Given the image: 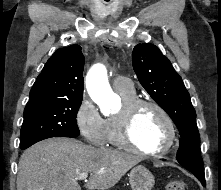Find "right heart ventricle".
I'll return each instance as SVG.
<instances>
[{
    "label": "right heart ventricle",
    "instance_id": "right-heart-ventricle-1",
    "mask_svg": "<svg viewBox=\"0 0 221 190\" xmlns=\"http://www.w3.org/2000/svg\"><path fill=\"white\" fill-rule=\"evenodd\" d=\"M118 93L122 97L123 101H130V100L137 98L136 92L134 89L129 92H118ZM106 120H107V127H108L107 143H109L110 145L114 147H122L119 141L116 116H111Z\"/></svg>",
    "mask_w": 221,
    "mask_h": 190
}]
</instances>
